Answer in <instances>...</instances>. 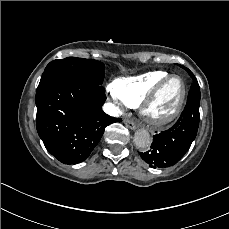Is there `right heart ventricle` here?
Returning <instances> with one entry per match:
<instances>
[{"label":"right heart ventricle","mask_w":229,"mask_h":229,"mask_svg":"<svg viewBox=\"0 0 229 229\" xmlns=\"http://www.w3.org/2000/svg\"><path fill=\"white\" fill-rule=\"evenodd\" d=\"M172 76L164 70H152L137 75L117 79L112 87L113 94L128 105H135L143 102L153 86L165 77Z\"/></svg>","instance_id":"right-heart-ventricle-1"}]
</instances>
